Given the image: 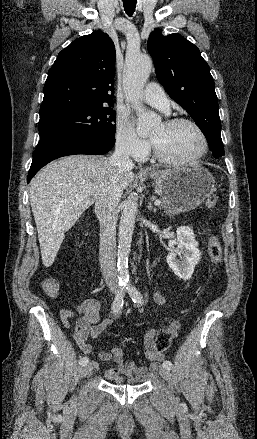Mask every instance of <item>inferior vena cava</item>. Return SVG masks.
<instances>
[{
	"instance_id": "inferior-vena-cava-1",
	"label": "inferior vena cava",
	"mask_w": 257,
	"mask_h": 439,
	"mask_svg": "<svg viewBox=\"0 0 257 439\" xmlns=\"http://www.w3.org/2000/svg\"><path fill=\"white\" fill-rule=\"evenodd\" d=\"M109 161L114 167L133 168L129 152L121 146L116 147ZM121 195L122 191L118 185V179L114 177L111 185L97 197L95 203V213L100 221V266L106 284L111 288L119 286L115 256L117 206Z\"/></svg>"
}]
</instances>
